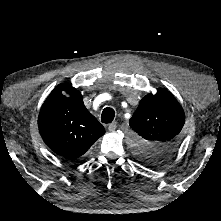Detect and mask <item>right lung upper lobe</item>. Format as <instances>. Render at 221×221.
<instances>
[{
    "label": "right lung upper lobe",
    "mask_w": 221,
    "mask_h": 221,
    "mask_svg": "<svg viewBox=\"0 0 221 221\" xmlns=\"http://www.w3.org/2000/svg\"><path fill=\"white\" fill-rule=\"evenodd\" d=\"M38 127L46 145L67 159L82 156L105 133L84 106L81 93L66 84H59L44 102Z\"/></svg>",
    "instance_id": "obj_1"
}]
</instances>
